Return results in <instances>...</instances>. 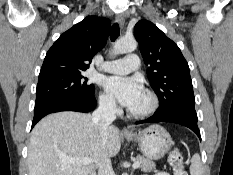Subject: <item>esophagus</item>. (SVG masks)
I'll return each mask as SVG.
<instances>
[{
	"mask_svg": "<svg viewBox=\"0 0 233 175\" xmlns=\"http://www.w3.org/2000/svg\"><path fill=\"white\" fill-rule=\"evenodd\" d=\"M116 21H117L121 26H123V25H124V22H125V19H124V17H123L122 14H117V15H116ZM122 133H123V134H129V130H127L126 128H124V129L122 130Z\"/></svg>",
	"mask_w": 233,
	"mask_h": 175,
	"instance_id": "1",
	"label": "esophagus"
}]
</instances>
